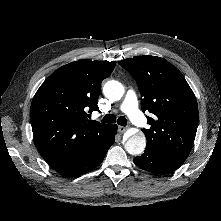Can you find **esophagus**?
<instances>
[{"instance_id": "esophagus-1", "label": "esophagus", "mask_w": 221, "mask_h": 221, "mask_svg": "<svg viewBox=\"0 0 221 221\" xmlns=\"http://www.w3.org/2000/svg\"><path fill=\"white\" fill-rule=\"evenodd\" d=\"M126 130H127L126 127H124V126H118V131H119L120 133H123V132H125Z\"/></svg>"}]
</instances>
